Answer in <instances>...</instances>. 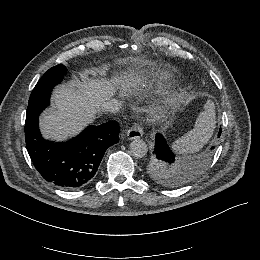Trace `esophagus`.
<instances>
[{
	"instance_id": "obj_1",
	"label": "esophagus",
	"mask_w": 260,
	"mask_h": 260,
	"mask_svg": "<svg viewBox=\"0 0 260 260\" xmlns=\"http://www.w3.org/2000/svg\"><path fill=\"white\" fill-rule=\"evenodd\" d=\"M143 136V128L139 124H134L127 131V137L130 140L139 139Z\"/></svg>"
}]
</instances>
